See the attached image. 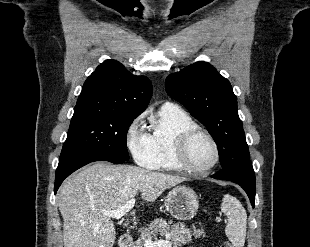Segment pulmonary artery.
<instances>
[{
    "label": "pulmonary artery",
    "instance_id": "obj_1",
    "mask_svg": "<svg viewBox=\"0 0 310 247\" xmlns=\"http://www.w3.org/2000/svg\"><path fill=\"white\" fill-rule=\"evenodd\" d=\"M171 105H173L172 103H165L163 106H171Z\"/></svg>",
    "mask_w": 310,
    "mask_h": 247
}]
</instances>
